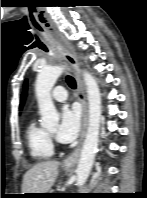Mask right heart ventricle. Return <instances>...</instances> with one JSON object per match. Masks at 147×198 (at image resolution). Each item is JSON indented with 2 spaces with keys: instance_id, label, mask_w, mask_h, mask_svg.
Listing matches in <instances>:
<instances>
[{
  "instance_id": "e07e8e85",
  "label": "right heart ventricle",
  "mask_w": 147,
  "mask_h": 198,
  "mask_svg": "<svg viewBox=\"0 0 147 198\" xmlns=\"http://www.w3.org/2000/svg\"><path fill=\"white\" fill-rule=\"evenodd\" d=\"M26 141L31 156L39 161L49 159L54 152L49 132L31 120L26 128Z\"/></svg>"
}]
</instances>
